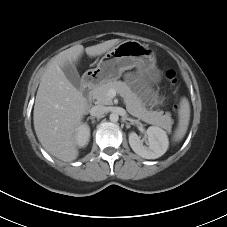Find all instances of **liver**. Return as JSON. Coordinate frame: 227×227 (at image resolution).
<instances>
[{
	"mask_svg": "<svg viewBox=\"0 0 227 227\" xmlns=\"http://www.w3.org/2000/svg\"><path fill=\"white\" fill-rule=\"evenodd\" d=\"M119 39L87 47L89 57L99 56ZM84 52L82 45H75L56 55L41 77L37 91L33 120L37 138L43 148L54 157L72 162L79 154L75 133L86 113V99L66 78L62 67L77 62Z\"/></svg>",
	"mask_w": 227,
	"mask_h": 227,
	"instance_id": "6515ba94",
	"label": "liver"
}]
</instances>
